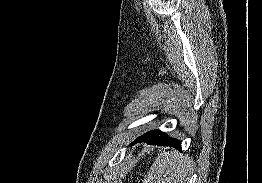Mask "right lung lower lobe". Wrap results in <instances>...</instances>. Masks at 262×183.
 I'll use <instances>...</instances> for the list:
<instances>
[{"mask_svg":"<svg viewBox=\"0 0 262 183\" xmlns=\"http://www.w3.org/2000/svg\"><path fill=\"white\" fill-rule=\"evenodd\" d=\"M138 142H146L147 144H153V145L170 146L178 150H181V142L179 140H175V139H171L167 137L160 130L150 131L140 136L131 145L138 143Z\"/></svg>","mask_w":262,"mask_h":183,"instance_id":"98d812e1","label":"right lung lower lobe"}]
</instances>
